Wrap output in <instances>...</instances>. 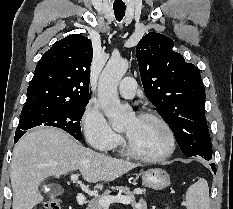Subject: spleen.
<instances>
[{"instance_id": "1", "label": "spleen", "mask_w": 233, "mask_h": 209, "mask_svg": "<svg viewBox=\"0 0 233 209\" xmlns=\"http://www.w3.org/2000/svg\"><path fill=\"white\" fill-rule=\"evenodd\" d=\"M187 209H210L209 187L205 179L200 178L186 192Z\"/></svg>"}]
</instances>
